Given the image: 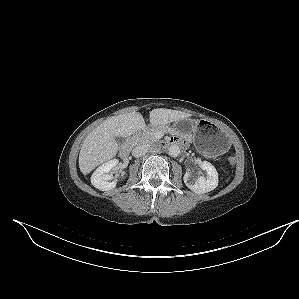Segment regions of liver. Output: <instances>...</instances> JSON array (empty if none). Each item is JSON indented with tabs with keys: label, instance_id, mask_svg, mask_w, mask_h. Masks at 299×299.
<instances>
[{
	"label": "liver",
	"instance_id": "6515ba94",
	"mask_svg": "<svg viewBox=\"0 0 299 299\" xmlns=\"http://www.w3.org/2000/svg\"><path fill=\"white\" fill-rule=\"evenodd\" d=\"M189 117L191 114L186 112L159 108L150 112L149 120L152 126H161ZM145 129L146 124L143 116L135 111L105 120L83 141L79 153L80 171L87 175L101 163L115 157L119 149L115 140L116 136L126 138Z\"/></svg>",
	"mask_w": 299,
	"mask_h": 299
}]
</instances>
